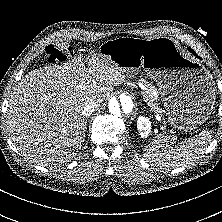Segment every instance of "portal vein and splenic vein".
I'll use <instances>...</instances> for the list:
<instances>
[{
    "label": "portal vein and splenic vein",
    "mask_w": 222,
    "mask_h": 222,
    "mask_svg": "<svg viewBox=\"0 0 222 222\" xmlns=\"http://www.w3.org/2000/svg\"><path fill=\"white\" fill-rule=\"evenodd\" d=\"M156 119H157L158 121L161 120L158 115L156 116ZM168 132H169V133H168V137H169V138H172L173 140H175L176 138H175V135L173 134V132H171V131H168Z\"/></svg>",
    "instance_id": "portal-vein-and-splenic-vein-1"
}]
</instances>
